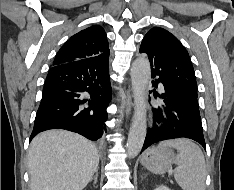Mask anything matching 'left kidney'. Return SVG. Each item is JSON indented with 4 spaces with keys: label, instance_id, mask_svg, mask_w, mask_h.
<instances>
[{
    "label": "left kidney",
    "instance_id": "1",
    "mask_svg": "<svg viewBox=\"0 0 234 190\" xmlns=\"http://www.w3.org/2000/svg\"><path fill=\"white\" fill-rule=\"evenodd\" d=\"M154 190H170V189L164 185H160L159 187L155 188Z\"/></svg>",
    "mask_w": 234,
    "mask_h": 190
}]
</instances>
